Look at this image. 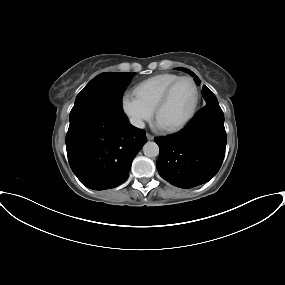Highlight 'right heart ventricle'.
<instances>
[{
  "mask_svg": "<svg viewBox=\"0 0 285 285\" xmlns=\"http://www.w3.org/2000/svg\"><path fill=\"white\" fill-rule=\"evenodd\" d=\"M178 77L180 76L175 73H162L152 76L138 83L134 88V94L142 103L154 110L165 89Z\"/></svg>",
  "mask_w": 285,
  "mask_h": 285,
  "instance_id": "1",
  "label": "right heart ventricle"
}]
</instances>
